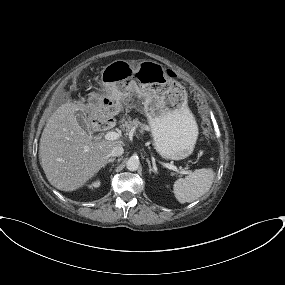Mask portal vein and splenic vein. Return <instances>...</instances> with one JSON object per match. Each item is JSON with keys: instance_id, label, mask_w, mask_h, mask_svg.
Segmentation results:
<instances>
[{"instance_id": "1", "label": "portal vein and splenic vein", "mask_w": 285, "mask_h": 285, "mask_svg": "<svg viewBox=\"0 0 285 285\" xmlns=\"http://www.w3.org/2000/svg\"><path fill=\"white\" fill-rule=\"evenodd\" d=\"M105 140H111V141H115L118 140L120 138V134L114 131H109L105 134ZM163 165L170 169L173 170L175 172H179L178 168L172 164L169 163H163ZM183 174H190V171H182Z\"/></svg>"}]
</instances>
